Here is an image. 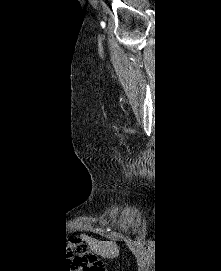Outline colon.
Segmentation results:
<instances>
[{"instance_id":"1","label":"colon","mask_w":221,"mask_h":271,"mask_svg":"<svg viewBox=\"0 0 221 271\" xmlns=\"http://www.w3.org/2000/svg\"><path fill=\"white\" fill-rule=\"evenodd\" d=\"M71 248L69 253L75 271H105L104 264L97 261L95 255L89 253L88 248L81 243L78 238H73L68 242Z\"/></svg>"}]
</instances>
